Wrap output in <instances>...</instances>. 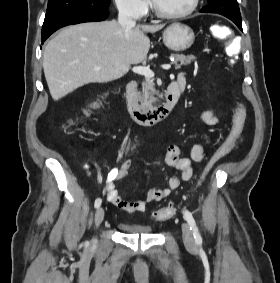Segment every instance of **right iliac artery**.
<instances>
[{
    "label": "right iliac artery",
    "instance_id": "1",
    "mask_svg": "<svg viewBox=\"0 0 280 283\" xmlns=\"http://www.w3.org/2000/svg\"><path fill=\"white\" fill-rule=\"evenodd\" d=\"M101 203H102L101 198H97V199L95 200V203H94L95 208H99L100 205H101Z\"/></svg>",
    "mask_w": 280,
    "mask_h": 283
}]
</instances>
